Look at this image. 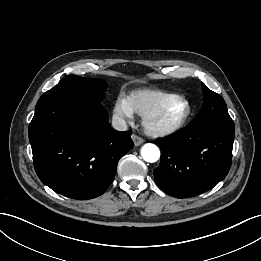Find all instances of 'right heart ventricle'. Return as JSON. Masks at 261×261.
Here are the masks:
<instances>
[{
    "instance_id": "right-heart-ventricle-1",
    "label": "right heart ventricle",
    "mask_w": 261,
    "mask_h": 261,
    "mask_svg": "<svg viewBox=\"0 0 261 261\" xmlns=\"http://www.w3.org/2000/svg\"><path fill=\"white\" fill-rule=\"evenodd\" d=\"M171 95L160 90L142 89L132 92L128 97V101L134 112L144 115Z\"/></svg>"
}]
</instances>
